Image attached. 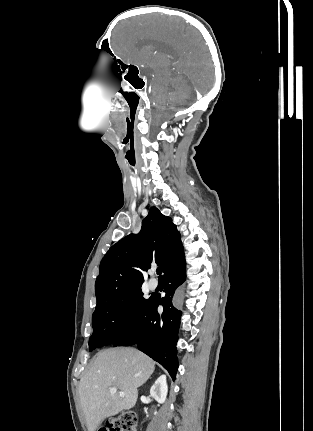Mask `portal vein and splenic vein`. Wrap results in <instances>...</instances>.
Listing matches in <instances>:
<instances>
[{"label":"portal vein and splenic vein","mask_w":313,"mask_h":431,"mask_svg":"<svg viewBox=\"0 0 313 431\" xmlns=\"http://www.w3.org/2000/svg\"><path fill=\"white\" fill-rule=\"evenodd\" d=\"M109 392H110L111 394H115V393L117 392V389H116L115 387H112V388H110V389H109ZM119 395H120L121 397H124V396H125L124 392H122V391H120V392H119Z\"/></svg>","instance_id":"1"}]
</instances>
